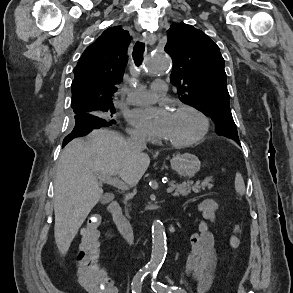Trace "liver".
Masks as SVG:
<instances>
[{
  "label": "liver",
  "instance_id": "6515ba94",
  "mask_svg": "<svg viewBox=\"0 0 293 293\" xmlns=\"http://www.w3.org/2000/svg\"><path fill=\"white\" fill-rule=\"evenodd\" d=\"M150 164L149 156L134 151L116 132L93 130L87 138L72 140L63 149L54 185V237L61 254H66L79 228L103 190L99 175H118L136 184Z\"/></svg>",
  "mask_w": 293,
  "mask_h": 293
}]
</instances>
